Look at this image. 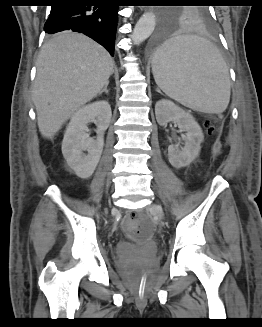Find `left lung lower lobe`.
<instances>
[{
  "instance_id": "left-lung-lower-lobe-1",
  "label": "left lung lower lobe",
  "mask_w": 262,
  "mask_h": 327,
  "mask_svg": "<svg viewBox=\"0 0 262 327\" xmlns=\"http://www.w3.org/2000/svg\"><path fill=\"white\" fill-rule=\"evenodd\" d=\"M166 37V31L164 29L160 28L157 30L149 42V48L151 51H157L163 45Z\"/></svg>"
}]
</instances>
